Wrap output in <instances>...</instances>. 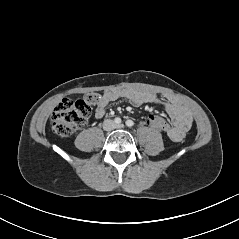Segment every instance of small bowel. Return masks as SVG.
Here are the masks:
<instances>
[{"label": "small bowel", "instance_id": "small-bowel-1", "mask_svg": "<svg viewBox=\"0 0 239 239\" xmlns=\"http://www.w3.org/2000/svg\"><path fill=\"white\" fill-rule=\"evenodd\" d=\"M119 98L128 99L135 106L142 104H157L162 106L171 119L169 129L164 133L174 142L181 141L192 125L193 119L190 112L176 97L172 95L159 96L150 91L131 87L104 91L96 104V118H102L106 113V107L109 102Z\"/></svg>", "mask_w": 239, "mask_h": 239}]
</instances>
